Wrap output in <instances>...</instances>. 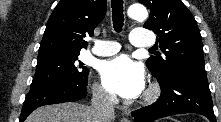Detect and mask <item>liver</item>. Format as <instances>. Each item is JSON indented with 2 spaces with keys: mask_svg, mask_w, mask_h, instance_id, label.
Wrapping results in <instances>:
<instances>
[{
  "mask_svg": "<svg viewBox=\"0 0 221 122\" xmlns=\"http://www.w3.org/2000/svg\"><path fill=\"white\" fill-rule=\"evenodd\" d=\"M26 122H94V116L92 107L77 102H64L34 110Z\"/></svg>",
  "mask_w": 221,
  "mask_h": 122,
  "instance_id": "6515ba94",
  "label": "liver"
}]
</instances>
